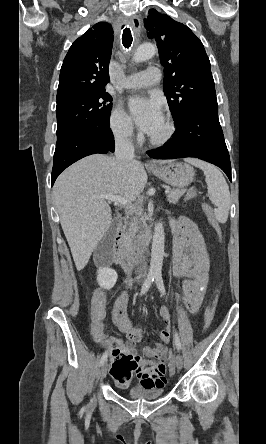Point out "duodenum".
Listing matches in <instances>:
<instances>
[{
	"label": "duodenum",
	"mask_w": 266,
	"mask_h": 444,
	"mask_svg": "<svg viewBox=\"0 0 266 444\" xmlns=\"http://www.w3.org/2000/svg\"><path fill=\"white\" fill-rule=\"evenodd\" d=\"M114 248L117 265L126 275H133L136 271V266L132 253L125 246L124 221L122 219L117 222Z\"/></svg>",
	"instance_id": "obj_1"
}]
</instances>
